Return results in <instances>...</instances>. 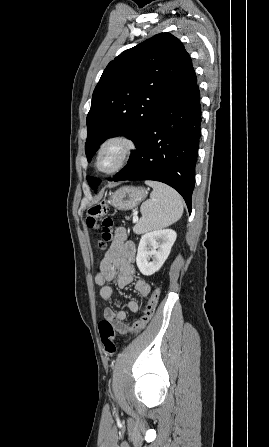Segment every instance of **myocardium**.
<instances>
[{
	"label": "myocardium",
	"instance_id": "f54148a6",
	"mask_svg": "<svg viewBox=\"0 0 269 447\" xmlns=\"http://www.w3.org/2000/svg\"><path fill=\"white\" fill-rule=\"evenodd\" d=\"M113 144L121 146V153L116 163L107 170H102L99 166L102 153ZM137 148V142L134 138L126 134H116L107 138L100 146L96 156V167L104 174L114 173L127 165L133 153Z\"/></svg>",
	"mask_w": 269,
	"mask_h": 447
}]
</instances>
